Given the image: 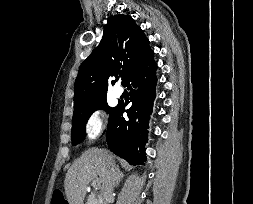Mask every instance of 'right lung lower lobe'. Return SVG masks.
<instances>
[{
    "label": "right lung lower lobe",
    "mask_w": 253,
    "mask_h": 204,
    "mask_svg": "<svg viewBox=\"0 0 253 204\" xmlns=\"http://www.w3.org/2000/svg\"><path fill=\"white\" fill-rule=\"evenodd\" d=\"M156 69L154 52L150 50L144 61L124 83L130 90L132 105L125 110L127 103H119L107 126L106 141L110 150L133 165L143 164L146 161L144 146L156 97ZM124 111L128 113L127 119L122 117Z\"/></svg>",
    "instance_id": "right-lung-lower-lobe-1"
}]
</instances>
